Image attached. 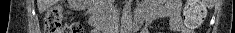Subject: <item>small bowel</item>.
<instances>
[{"mask_svg": "<svg viewBox=\"0 0 235 33\" xmlns=\"http://www.w3.org/2000/svg\"><path fill=\"white\" fill-rule=\"evenodd\" d=\"M181 6L180 0H147L141 3L137 9V14L142 15L146 23L142 33H148L149 24L163 18L169 19L171 32L193 33L182 22Z\"/></svg>", "mask_w": 235, "mask_h": 33, "instance_id": "small-bowel-1", "label": "small bowel"}]
</instances>
